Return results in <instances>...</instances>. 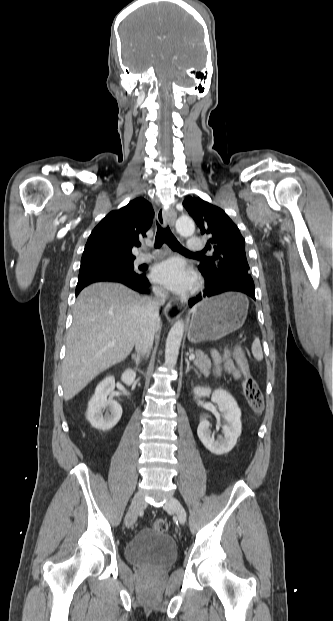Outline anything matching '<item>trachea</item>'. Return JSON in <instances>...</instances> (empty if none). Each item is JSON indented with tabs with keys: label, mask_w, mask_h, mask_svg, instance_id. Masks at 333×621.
I'll use <instances>...</instances> for the list:
<instances>
[{
	"label": "trachea",
	"mask_w": 333,
	"mask_h": 621,
	"mask_svg": "<svg viewBox=\"0 0 333 621\" xmlns=\"http://www.w3.org/2000/svg\"><path fill=\"white\" fill-rule=\"evenodd\" d=\"M163 243H166L172 250L186 253V254H201V252L192 253L185 249L172 234L170 228L167 226L165 228L161 227L157 222V233L155 238V248H159Z\"/></svg>",
	"instance_id": "obj_1"
}]
</instances>
